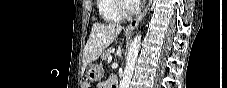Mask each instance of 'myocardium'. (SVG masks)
Here are the masks:
<instances>
[{"label": "myocardium", "mask_w": 227, "mask_h": 88, "mask_svg": "<svg viewBox=\"0 0 227 88\" xmlns=\"http://www.w3.org/2000/svg\"><path fill=\"white\" fill-rule=\"evenodd\" d=\"M116 8L118 12L124 17L134 15L139 10L135 5L131 3L130 0H119L117 2Z\"/></svg>", "instance_id": "1"}]
</instances>
